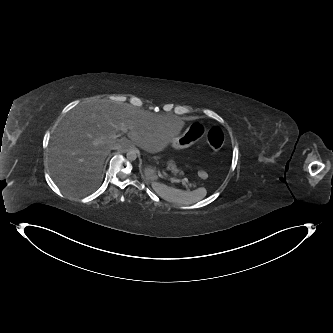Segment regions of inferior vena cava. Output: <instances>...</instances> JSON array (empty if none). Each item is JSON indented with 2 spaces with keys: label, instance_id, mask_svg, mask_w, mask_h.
<instances>
[{
  "label": "inferior vena cava",
  "instance_id": "602c4592",
  "mask_svg": "<svg viewBox=\"0 0 333 333\" xmlns=\"http://www.w3.org/2000/svg\"><path fill=\"white\" fill-rule=\"evenodd\" d=\"M113 150H119L121 146L119 144H115L111 147Z\"/></svg>",
  "mask_w": 333,
  "mask_h": 333
}]
</instances>
